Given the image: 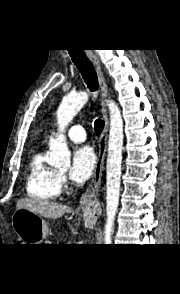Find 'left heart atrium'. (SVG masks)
<instances>
[{
	"label": "left heart atrium",
	"instance_id": "1",
	"mask_svg": "<svg viewBox=\"0 0 180 294\" xmlns=\"http://www.w3.org/2000/svg\"><path fill=\"white\" fill-rule=\"evenodd\" d=\"M96 165V156L90 146L77 149L72 158L70 178L75 182H84L91 177Z\"/></svg>",
	"mask_w": 180,
	"mask_h": 294
}]
</instances>
